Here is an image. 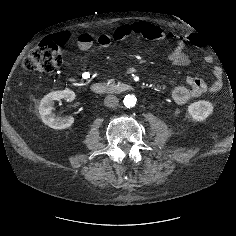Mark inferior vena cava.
Listing matches in <instances>:
<instances>
[{
	"instance_id": "inferior-vena-cava-1",
	"label": "inferior vena cava",
	"mask_w": 236,
	"mask_h": 236,
	"mask_svg": "<svg viewBox=\"0 0 236 236\" xmlns=\"http://www.w3.org/2000/svg\"><path fill=\"white\" fill-rule=\"evenodd\" d=\"M118 98L115 95H107L104 99V105L107 107H115L118 105Z\"/></svg>"
}]
</instances>
